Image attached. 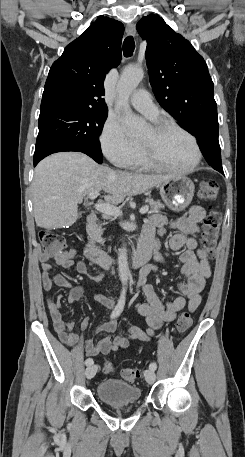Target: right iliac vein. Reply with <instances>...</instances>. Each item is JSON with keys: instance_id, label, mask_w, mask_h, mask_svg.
Masks as SVG:
<instances>
[{"instance_id": "obj_1", "label": "right iliac vein", "mask_w": 245, "mask_h": 457, "mask_svg": "<svg viewBox=\"0 0 245 457\" xmlns=\"http://www.w3.org/2000/svg\"><path fill=\"white\" fill-rule=\"evenodd\" d=\"M97 372V365L92 364L86 368L85 374L87 379H92Z\"/></svg>"}]
</instances>
